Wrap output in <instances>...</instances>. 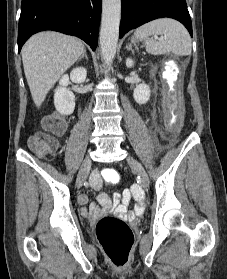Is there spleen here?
<instances>
[{"mask_svg": "<svg viewBox=\"0 0 227 279\" xmlns=\"http://www.w3.org/2000/svg\"><path fill=\"white\" fill-rule=\"evenodd\" d=\"M134 35L139 40H145L148 53L159 55L172 52L182 56L191 54V38L187 30L173 19L151 21L137 28ZM157 35H161V38L158 39Z\"/></svg>", "mask_w": 227, "mask_h": 279, "instance_id": "obj_1", "label": "spleen"}]
</instances>
